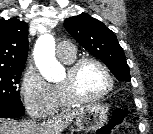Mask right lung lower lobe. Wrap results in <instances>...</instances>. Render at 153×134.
<instances>
[{
	"label": "right lung lower lobe",
	"mask_w": 153,
	"mask_h": 134,
	"mask_svg": "<svg viewBox=\"0 0 153 134\" xmlns=\"http://www.w3.org/2000/svg\"><path fill=\"white\" fill-rule=\"evenodd\" d=\"M24 114L25 109L22 105L0 103V118H16Z\"/></svg>",
	"instance_id": "98d812e1"
}]
</instances>
